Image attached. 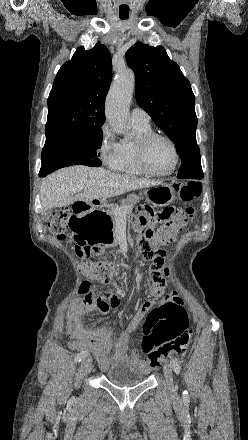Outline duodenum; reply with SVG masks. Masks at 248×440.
<instances>
[{"mask_svg":"<svg viewBox=\"0 0 248 440\" xmlns=\"http://www.w3.org/2000/svg\"><path fill=\"white\" fill-rule=\"evenodd\" d=\"M78 204H87L86 202H84V201H80V202H77V205Z\"/></svg>","mask_w":248,"mask_h":440,"instance_id":"duodenum-1","label":"duodenum"}]
</instances>
